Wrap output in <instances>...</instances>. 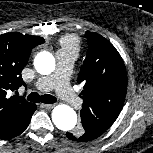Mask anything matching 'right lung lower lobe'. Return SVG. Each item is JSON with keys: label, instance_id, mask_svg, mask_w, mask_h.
<instances>
[{"label": "right lung lower lobe", "instance_id": "98d812e1", "mask_svg": "<svg viewBox=\"0 0 153 153\" xmlns=\"http://www.w3.org/2000/svg\"><path fill=\"white\" fill-rule=\"evenodd\" d=\"M36 109L37 106L34 104L32 109L25 116L19 119L8 132L0 135V139H11L24 132L29 125L31 117Z\"/></svg>", "mask_w": 153, "mask_h": 153}]
</instances>
